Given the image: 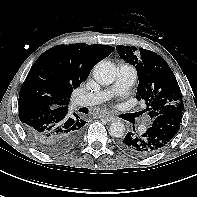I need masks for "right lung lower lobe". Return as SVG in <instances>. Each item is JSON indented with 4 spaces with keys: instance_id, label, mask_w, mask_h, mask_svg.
I'll return each mask as SVG.
<instances>
[{
    "instance_id": "obj_1",
    "label": "right lung lower lobe",
    "mask_w": 197,
    "mask_h": 197,
    "mask_svg": "<svg viewBox=\"0 0 197 197\" xmlns=\"http://www.w3.org/2000/svg\"><path fill=\"white\" fill-rule=\"evenodd\" d=\"M19 118L27 136L34 144L50 154L72 148L80 139L86 123L68 106L52 108L40 100L21 95Z\"/></svg>"
}]
</instances>
